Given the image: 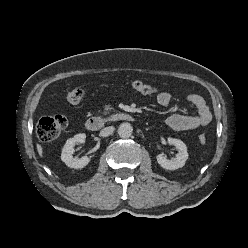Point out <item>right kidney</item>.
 <instances>
[{
	"label": "right kidney",
	"instance_id": "right-kidney-1",
	"mask_svg": "<svg viewBox=\"0 0 248 248\" xmlns=\"http://www.w3.org/2000/svg\"><path fill=\"white\" fill-rule=\"evenodd\" d=\"M86 139V135L84 133H80L75 135L72 138H69L66 141L61 153V160L70 168L81 169L84 168L89 162L90 158L84 156L80 159L74 158V146L79 143H84Z\"/></svg>",
	"mask_w": 248,
	"mask_h": 248
}]
</instances>
